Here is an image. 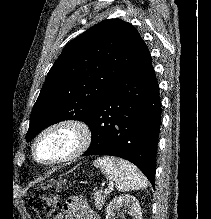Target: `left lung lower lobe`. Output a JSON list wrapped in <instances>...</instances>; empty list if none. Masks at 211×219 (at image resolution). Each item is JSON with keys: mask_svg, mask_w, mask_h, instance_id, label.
<instances>
[{"mask_svg": "<svg viewBox=\"0 0 211 219\" xmlns=\"http://www.w3.org/2000/svg\"><path fill=\"white\" fill-rule=\"evenodd\" d=\"M161 124L159 86L145 45L97 104L87 125L92 142L83 155H110L135 164L154 187Z\"/></svg>", "mask_w": 211, "mask_h": 219, "instance_id": "obj_1", "label": "left lung lower lobe"}]
</instances>
